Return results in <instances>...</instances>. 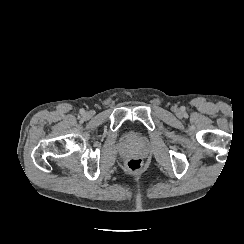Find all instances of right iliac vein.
<instances>
[{
    "mask_svg": "<svg viewBox=\"0 0 244 244\" xmlns=\"http://www.w3.org/2000/svg\"><path fill=\"white\" fill-rule=\"evenodd\" d=\"M90 116V113L89 112H86L85 114H84V117L85 118H88Z\"/></svg>",
    "mask_w": 244,
    "mask_h": 244,
    "instance_id": "right-iliac-vein-1",
    "label": "right iliac vein"
}]
</instances>
